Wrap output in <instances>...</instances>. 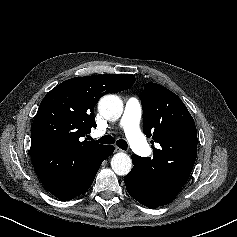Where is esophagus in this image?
I'll use <instances>...</instances> for the list:
<instances>
[{
  "label": "esophagus",
  "mask_w": 237,
  "mask_h": 237,
  "mask_svg": "<svg viewBox=\"0 0 237 237\" xmlns=\"http://www.w3.org/2000/svg\"><path fill=\"white\" fill-rule=\"evenodd\" d=\"M115 151H116V152H124L122 149H120V148H118V147L115 148Z\"/></svg>",
  "instance_id": "esophagus-1"
}]
</instances>
